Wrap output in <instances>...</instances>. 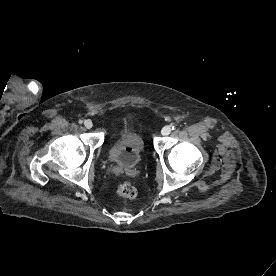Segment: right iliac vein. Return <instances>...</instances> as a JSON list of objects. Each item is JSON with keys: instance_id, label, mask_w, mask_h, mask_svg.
I'll use <instances>...</instances> for the list:
<instances>
[{"instance_id": "63e3f726", "label": "right iliac vein", "mask_w": 276, "mask_h": 276, "mask_svg": "<svg viewBox=\"0 0 276 276\" xmlns=\"http://www.w3.org/2000/svg\"><path fill=\"white\" fill-rule=\"evenodd\" d=\"M84 126H85L87 129H90V128H92L93 123H92V121H91L90 119H86V120L84 121Z\"/></svg>"}]
</instances>
